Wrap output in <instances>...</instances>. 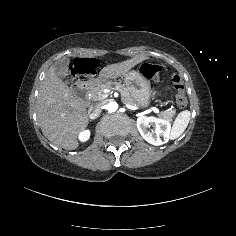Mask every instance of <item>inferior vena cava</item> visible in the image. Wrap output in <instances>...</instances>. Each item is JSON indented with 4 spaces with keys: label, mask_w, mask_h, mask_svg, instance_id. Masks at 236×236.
Masks as SVG:
<instances>
[{
    "label": "inferior vena cava",
    "mask_w": 236,
    "mask_h": 236,
    "mask_svg": "<svg viewBox=\"0 0 236 236\" xmlns=\"http://www.w3.org/2000/svg\"><path fill=\"white\" fill-rule=\"evenodd\" d=\"M102 112V105L101 104H95L91 110H90V118L91 119H96L97 117L100 116Z\"/></svg>",
    "instance_id": "1"
}]
</instances>
